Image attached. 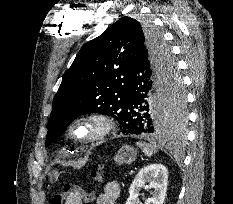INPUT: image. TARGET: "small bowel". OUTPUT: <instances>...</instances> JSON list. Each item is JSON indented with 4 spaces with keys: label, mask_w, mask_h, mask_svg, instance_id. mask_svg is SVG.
<instances>
[{
    "label": "small bowel",
    "mask_w": 233,
    "mask_h": 204,
    "mask_svg": "<svg viewBox=\"0 0 233 204\" xmlns=\"http://www.w3.org/2000/svg\"><path fill=\"white\" fill-rule=\"evenodd\" d=\"M120 195V185L117 181L108 182L103 190V193L99 195L96 204H115ZM86 199L85 201H89Z\"/></svg>",
    "instance_id": "1"
}]
</instances>
